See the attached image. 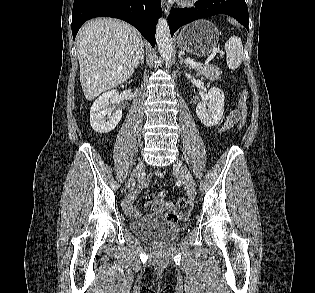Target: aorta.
<instances>
[{
	"label": "aorta",
	"mask_w": 315,
	"mask_h": 293,
	"mask_svg": "<svg viewBox=\"0 0 315 293\" xmlns=\"http://www.w3.org/2000/svg\"><path fill=\"white\" fill-rule=\"evenodd\" d=\"M156 42L161 56L169 62L173 56V46L168 22L162 17L157 22Z\"/></svg>",
	"instance_id": "762f6f07"
}]
</instances>
